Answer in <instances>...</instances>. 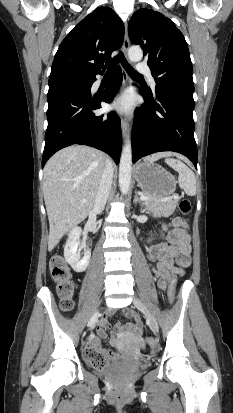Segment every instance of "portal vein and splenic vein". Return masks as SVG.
Wrapping results in <instances>:
<instances>
[{"label":"portal vein and splenic vein","instance_id":"portal-vein-and-splenic-vein-1","mask_svg":"<svg viewBox=\"0 0 233 413\" xmlns=\"http://www.w3.org/2000/svg\"><path fill=\"white\" fill-rule=\"evenodd\" d=\"M141 199L146 201V200H150V199H153V198H150V197H147V196H141ZM154 200L167 202V201H171L172 197L170 196V197H164V198H158V199L154 198ZM82 202L84 203L85 201H82Z\"/></svg>","mask_w":233,"mask_h":413}]
</instances>
